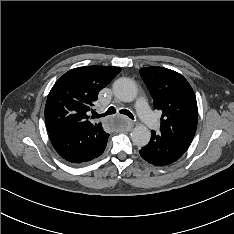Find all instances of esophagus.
Returning <instances> with one entry per match:
<instances>
[{"label": "esophagus", "mask_w": 234, "mask_h": 234, "mask_svg": "<svg viewBox=\"0 0 234 234\" xmlns=\"http://www.w3.org/2000/svg\"><path fill=\"white\" fill-rule=\"evenodd\" d=\"M133 126H134L133 122L128 121V124H127V126H126V130H127V131H130V130L133 128Z\"/></svg>", "instance_id": "esophagus-1"}]
</instances>
